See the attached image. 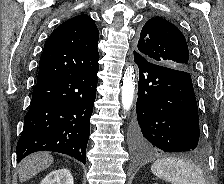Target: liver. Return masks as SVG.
<instances>
[{
	"instance_id": "liver-1",
	"label": "liver",
	"mask_w": 224,
	"mask_h": 184,
	"mask_svg": "<svg viewBox=\"0 0 224 184\" xmlns=\"http://www.w3.org/2000/svg\"><path fill=\"white\" fill-rule=\"evenodd\" d=\"M53 163V157L46 152H39L24 158L19 165V180L24 182Z\"/></svg>"
}]
</instances>
